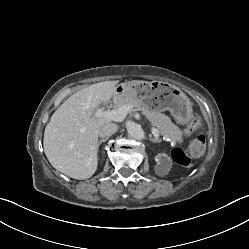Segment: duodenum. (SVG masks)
Instances as JSON below:
<instances>
[{
	"label": "duodenum",
	"instance_id": "obj_1",
	"mask_svg": "<svg viewBox=\"0 0 249 249\" xmlns=\"http://www.w3.org/2000/svg\"><path fill=\"white\" fill-rule=\"evenodd\" d=\"M113 94H118V93L115 92V89H114V91H113Z\"/></svg>",
	"mask_w": 249,
	"mask_h": 249
}]
</instances>
